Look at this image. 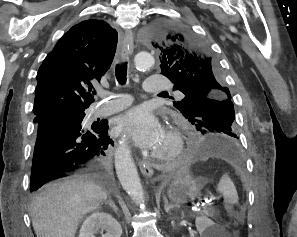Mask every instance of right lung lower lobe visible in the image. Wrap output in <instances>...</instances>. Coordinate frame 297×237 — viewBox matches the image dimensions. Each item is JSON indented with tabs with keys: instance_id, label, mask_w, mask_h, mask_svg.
I'll use <instances>...</instances> for the list:
<instances>
[{
	"instance_id": "obj_1",
	"label": "right lung lower lobe",
	"mask_w": 297,
	"mask_h": 237,
	"mask_svg": "<svg viewBox=\"0 0 297 237\" xmlns=\"http://www.w3.org/2000/svg\"><path fill=\"white\" fill-rule=\"evenodd\" d=\"M69 112H51L37 120L36 142L31 168L30 191L44 184L80 173L106 179L108 159L104 150L112 140L107 123L82 128L84 118Z\"/></svg>"
}]
</instances>
